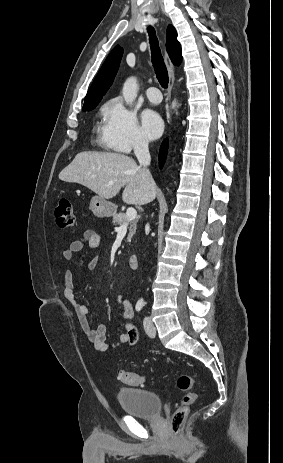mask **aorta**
I'll return each instance as SVG.
<instances>
[{
	"instance_id": "aorta-1",
	"label": "aorta",
	"mask_w": 283,
	"mask_h": 463,
	"mask_svg": "<svg viewBox=\"0 0 283 463\" xmlns=\"http://www.w3.org/2000/svg\"><path fill=\"white\" fill-rule=\"evenodd\" d=\"M123 98L127 105H132L138 94V84L136 77L128 78L122 89Z\"/></svg>"
}]
</instances>
